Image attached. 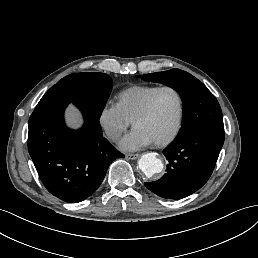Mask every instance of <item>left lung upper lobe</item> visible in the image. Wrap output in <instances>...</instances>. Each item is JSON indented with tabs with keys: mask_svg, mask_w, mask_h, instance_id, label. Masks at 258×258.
I'll return each instance as SVG.
<instances>
[{
	"mask_svg": "<svg viewBox=\"0 0 258 258\" xmlns=\"http://www.w3.org/2000/svg\"><path fill=\"white\" fill-rule=\"evenodd\" d=\"M143 80L162 83L177 91L183 103V121L175 140H181L204 129L224 130L220 105L215 96L197 78L186 71L172 69L145 74Z\"/></svg>",
	"mask_w": 258,
	"mask_h": 258,
	"instance_id": "left-lung-upper-lobe-1",
	"label": "left lung upper lobe"
}]
</instances>
